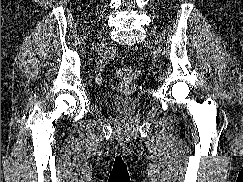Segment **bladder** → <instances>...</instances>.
<instances>
[{"label": "bladder", "mask_w": 243, "mask_h": 182, "mask_svg": "<svg viewBox=\"0 0 243 182\" xmlns=\"http://www.w3.org/2000/svg\"><path fill=\"white\" fill-rule=\"evenodd\" d=\"M97 101L100 105L118 109L125 113H133L141 107L139 98L105 92L97 94Z\"/></svg>", "instance_id": "1"}]
</instances>
